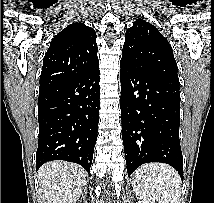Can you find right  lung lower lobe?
I'll use <instances>...</instances> for the list:
<instances>
[{
	"label": "right lung lower lobe",
	"instance_id": "right-lung-lower-lobe-1",
	"mask_svg": "<svg viewBox=\"0 0 214 203\" xmlns=\"http://www.w3.org/2000/svg\"><path fill=\"white\" fill-rule=\"evenodd\" d=\"M99 67L70 81L39 92V142L36 168L65 160L89 173L97 139Z\"/></svg>",
	"mask_w": 214,
	"mask_h": 203
}]
</instances>
